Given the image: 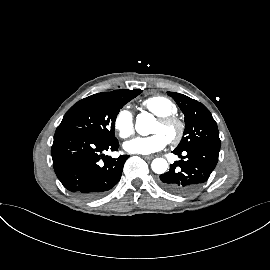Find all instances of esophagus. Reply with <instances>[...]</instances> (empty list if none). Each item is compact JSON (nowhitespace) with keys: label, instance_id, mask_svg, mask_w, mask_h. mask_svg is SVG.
<instances>
[{"label":"esophagus","instance_id":"obj_1","mask_svg":"<svg viewBox=\"0 0 270 270\" xmlns=\"http://www.w3.org/2000/svg\"><path fill=\"white\" fill-rule=\"evenodd\" d=\"M143 158L146 159V160H151V159L154 158V156H152V155H147V156H143Z\"/></svg>","mask_w":270,"mask_h":270}]
</instances>
